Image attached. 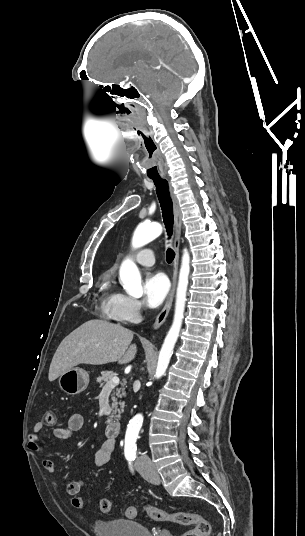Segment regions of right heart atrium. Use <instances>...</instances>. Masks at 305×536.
I'll list each match as a JSON object with an SVG mask.
<instances>
[{
    "instance_id": "obj_1",
    "label": "right heart atrium",
    "mask_w": 305,
    "mask_h": 536,
    "mask_svg": "<svg viewBox=\"0 0 305 536\" xmlns=\"http://www.w3.org/2000/svg\"><path fill=\"white\" fill-rule=\"evenodd\" d=\"M143 309L142 303L124 294H118L114 308L110 313L115 315L118 321L127 323L135 321Z\"/></svg>"
}]
</instances>
